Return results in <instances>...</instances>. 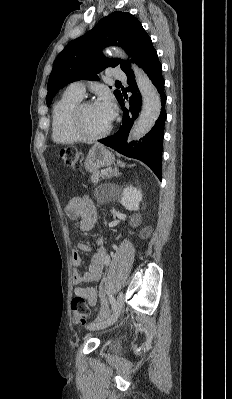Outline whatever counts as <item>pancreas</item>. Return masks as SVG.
<instances>
[{"label":"pancreas","instance_id":"1","mask_svg":"<svg viewBox=\"0 0 232 399\" xmlns=\"http://www.w3.org/2000/svg\"><path fill=\"white\" fill-rule=\"evenodd\" d=\"M102 176H104V174H101V172H92L91 176L92 184H98V182H101Z\"/></svg>","mask_w":232,"mask_h":399}]
</instances>
